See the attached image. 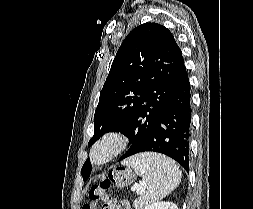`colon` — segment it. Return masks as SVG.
<instances>
[{"label": "colon", "mask_w": 253, "mask_h": 209, "mask_svg": "<svg viewBox=\"0 0 253 209\" xmlns=\"http://www.w3.org/2000/svg\"><path fill=\"white\" fill-rule=\"evenodd\" d=\"M133 180V174L129 170L119 169L112 173H109L108 177L103 180L99 185H94L89 190V197L92 204H85L82 209H96L95 202L101 199L104 190L111 184L117 186H126L130 184ZM116 205L113 201L105 202L101 209H116Z\"/></svg>", "instance_id": "colon-1"}]
</instances>
